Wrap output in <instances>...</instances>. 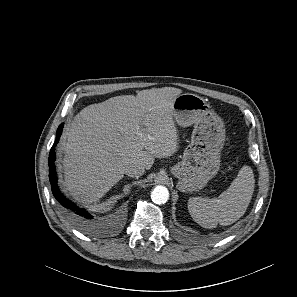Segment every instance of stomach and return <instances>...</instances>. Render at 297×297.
Returning a JSON list of instances; mask_svg holds the SVG:
<instances>
[{
    "mask_svg": "<svg viewBox=\"0 0 297 297\" xmlns=\"http://www.w3.org/2000/svg\"><path fill=\"white\" fill-rule=\"evenodd\" d=\"M172 115L179 126L194 125V129L182 160L171 168V173L178 179L180 191L201 190L219 170L225 141L224 122L205 99L191 93L175 98Z\"/></svg>",
    "mask_w": 297,
    "mask_h": 297,
    "instance_id": "1",
    "label": "stomach"
}]
</instances>
